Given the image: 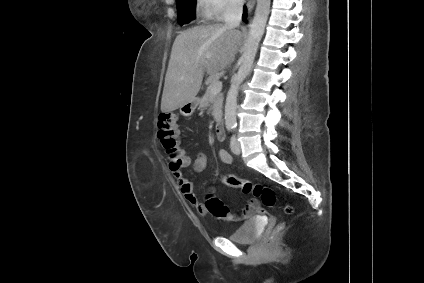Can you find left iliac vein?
Here are the masks:
<instances>
[{"label": "left iliac vein", "instance_id": "4c4485c4", "mask_svg": "<svg viewBox=\"0 0 424 283\" xmlns=\"http://www.w3.org/2000/svg\"><path fill=\"white\" fill-rule=\"evenodd\" d=\"M230 147H231V151L234 154L239 155L241 153L240 143H239V141L237 140V138L235 136H232L231 137Z\"/></svg>", "mask_w": 424, "mask_h": 283}]
</instances>
